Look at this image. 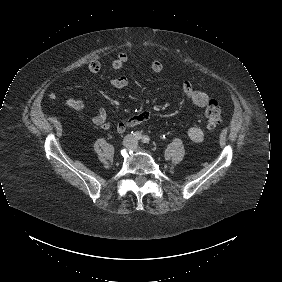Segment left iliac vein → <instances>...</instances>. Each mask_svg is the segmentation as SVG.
<instances>
[{"mask_svg": "<svg viewBox=\"0 0 282 282\" xmlns=\"http://www.w3.org/2000/svg\"><path fill=\"white\" fill-rule=\"evenodd\" d=\"M137 147H138V144H137V142L134 141V142H133V148L136 149Z\"/></svg>", "mask_w": 282, "mask_h": 282, "instance_id": "left-iliac-vein-1", "label": "left iliac vein"}]
</instances>
